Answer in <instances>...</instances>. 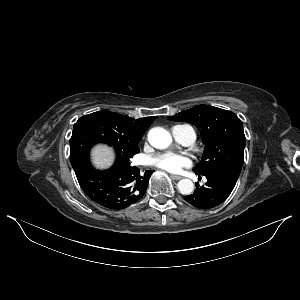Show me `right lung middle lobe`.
<instances>
[{"mask_svg": "<svg viewBox=\"0 0 300 300\" xmlns=\"http://www.w3.org/2000/svg\"><path fill=\"white\" fill-rule=\"evenodd\" d=\"M107 143L115 148L117 159L130 163L139 152L138 142L132 144L116 135L107 121L96 112L83 116L74 124L70 138V161L72 167L88 159L90 148L96 143Z\"/></svg>", "mask_w": 300, "mask_h": 300, "instance_id": "1", "label": "right lung middle lobe"}]
</instances>
